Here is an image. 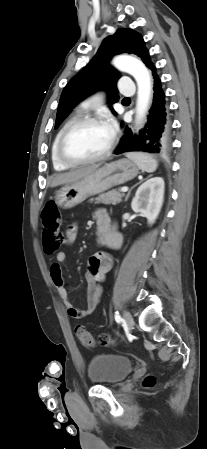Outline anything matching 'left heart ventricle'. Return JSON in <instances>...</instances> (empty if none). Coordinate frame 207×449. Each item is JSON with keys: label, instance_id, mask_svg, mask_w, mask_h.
Masks as SVG:
<instances>
[{"label": "left heart ventricle", "instance_id": "obj_1", "mask_svg": "<svg viewBox=\"0 0 207 449\" xmlns=\"http://www.w3.org/2000/svg\"><path fill=\"white\" fill-rule=\"evenodd\" d=\"M112 134L104 124H84L73 129L68 135L64 150L74 159L98 156L107 148Z\"/></svg>", "mask_w": 207, "mask_h": 449}]
</instances>
